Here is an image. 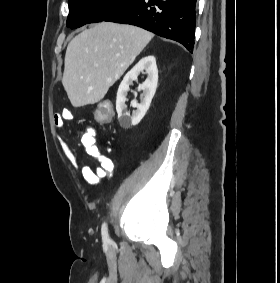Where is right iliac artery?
<instances>
[{
    "label": "right iliac artery",
    "instance_id": "right-iliac-artery-1",
    "mask_svg": "<svg viewBox=\"0 0 280 283\" xmlns=\"http://www.w3.org/2000/svg\"><path fill=\"white\" fill-rule=\"evenodd\" d=\"M102 239L104 243H109L110 242V238L108 235V229H107V225L106 223H104L102 225Z\"/></svg>",
    "mask_w": 280,
    "mask_h": 283
}]
</instances>
